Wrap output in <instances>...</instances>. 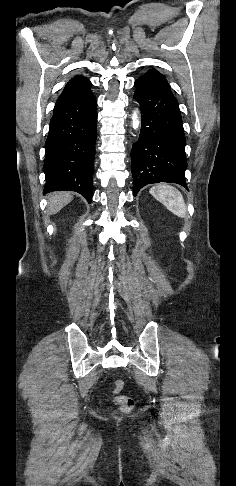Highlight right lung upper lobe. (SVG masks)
I'll return each instance as SVG.
<instances>
[{
    "label": "right lung upper lobe",
    "instance_id": "right-lung-upper-lobe-1",
    "mask_svg": "<svg viewBox=\"0 0 236 486\" xmlns=\"http://www.w3.org/2000/svg\"><path fill=\"white\" fill-rule=\"evenodd\" d=\"M91 82L83 76H75L65 86L56 104L77 100L91 93Z\"/></svg>",
    "mask_w": 236,
    "mask_h": 486
}]
</instances>
